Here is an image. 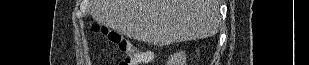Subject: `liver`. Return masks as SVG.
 <instances>
[{
  "mask_svg": "<svg viewBox=\"0 0 309 65\" xmlns=\"http://www.w3.org/2000/svg\"><path fill=\"white\" fill-rule=\"evenodd\" d=\"M91 16L119 34L157 46L211 37L219 0H90Z\"/></svg>",
  "mask_w": 309,
  "mask_h": 65,
  "instance_id": "obj_1",
  "label": "liver"
}]
</instances>
